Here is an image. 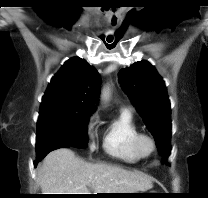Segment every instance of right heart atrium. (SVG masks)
Instances as JSON below:
<instances>
[{
    "label": "right heart atrium",
    "mask_w": 208,
    "mask_h": 198,
    "mask_svg": "<svg viewBox=\"0 0 208 198\" xmlns=\"http://www.w3.org/2000/svg\"><path fill=\"white\" fill-rule=\"evenodd\" d=\"M97 122H98V116L96 114H94L89 118L87 125H86V132H87V135L90 139L91 149H93L95 147L94 136H95Z\"/></svg>",
    "instance_id": "right-heart-atrium-1"
}]
</instances>
